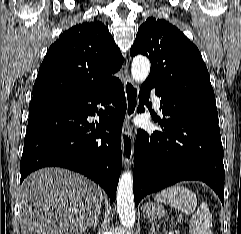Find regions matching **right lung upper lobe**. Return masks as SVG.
Returning a JSON list of instances; mask_svg holds the SVG:
<instances>
[{
    "mask_svg": "<svg viewBox=\"0 0 241 234\" xmlns=\"http://www.w3.org/2000/svg\"><path fill=\"white\" fill-rule=\"evenodd\" d=\"M122 63L120 49L105 25L96 21L73 26L50 46L29 106L90 95L111 82Z\"/></svg>",
    "mask_w": 241,
    "mask_h": 234,
    "instance_id": "1",
    "label": "right lung upper lobe"
}]
</instances>
